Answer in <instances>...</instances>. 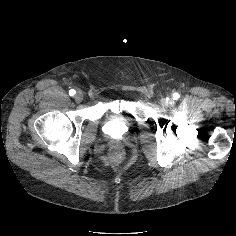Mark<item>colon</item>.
Instances as JSON below:
<instances>
[{"mask_svg":"<svg viewBox=\"0 0 236 236\" xmlns=\"http://www.w3.org/2000/svg\"><path fill=\"white\" fill-rule=\"evenodd\" d=\"M112 161L120 163L124 158V150L120 146H113L110 152Z\"/></svg>","mask_w":236,"mask_h":236,"instance_id":"5ec220e1","label":"colon"}]
</instances>
